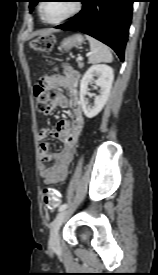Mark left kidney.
Returning <instances> with one entry per match:
<instances>
[{
  "mask_svg": "<svg viewBox=\"0 0 158 275\" xmlns=\"http://www.w3.org/2000/svg\"><path fill=\"white\" fill-rule=\"evenodd\" d=\"M94 76L98 77L95 80V84L100 88V91L99 95L94 99L93 106H90L85 96L88 90V84L94 80ZM113 79V69L106 64L92 65L85 72L80 82V103L86 117L93 118L101 112L108 100Z\"/></svg>",
  "mask_w": 158,
  "mask_h": 275,
  "instance_id": "left-kidney-1",
  "label": "left kidney"
}]
</instances>
